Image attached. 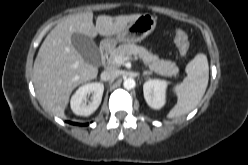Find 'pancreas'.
Returning a JSON list of instances; mask_svg holds the SVG:
<instances>
[{"label": "pancreas", "mask_w": 248, "mask_h": 165, "mask_svg": "<svg viewBox=\"0 0 248 165\" xmlns=\"http://www.w3.org/2000/svg\"><path fill=\"white\" fill-rule=\"evenodd\" d=\"M131 55L138 56L151 71L157 74L165 77H177L179 75V68L175 62L159 59L157 55H154L145 47L135 45L134 43L123 44L112 50L110 52L109 63L115 67H119L121 64L114 61L115 57Z\"/></svg>", "instance_id": "pancreas-1"}]
</instances>
